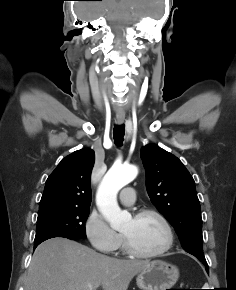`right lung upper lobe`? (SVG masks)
I'll use <instances>...</instances> for the list:
<instances>
[{
  "instance_id": "1",
  "label": "right lung upper lobe",
  "mask_w": 236,
  "mask_h": 290,
  "mask_svg": "<svg viewBox=\"0 0 236 290\" xmlns=\"http://www.w3.org/2000/svg\"><path fill=\"white\" fill-rule=\"evenodd\" d=\"M94 160V151L89 148L62 159L46 180L39 209L53 206L89 208Z\"/></svg>"
}]
</instances>
